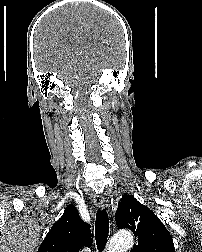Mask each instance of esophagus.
I'll return each instance as SVG.
<instances>
[{
    "instance_id": "esophagus-1",
    "label": "esophagus",
    "mask_w": 202,
    "mask_h": 252,
    "mask_svg": "<svg viewBox=\"0 0 202 252\" xmlns=\"http://www.w3.org/2000/svg\"><path fill=\"white\" fill-rule=\"evenodd\" d=\"M94 204L97 209H103L104 207H106V200L102 195H96L94 197Z\"/></svg>"
}]
</instances>
